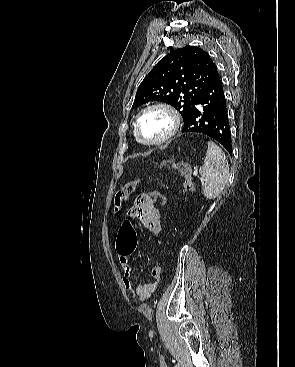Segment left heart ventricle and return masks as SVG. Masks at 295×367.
I'll return each mask as SVG.
<instances>
[{"mask_svg": "<svg viewBox=\"0 0 295 367\" xmlns=\"http://www.w3.org/2000/svg\"><path fill=\"white\" fill-rule=\"evenodd\" d=\"M171 128V119L162 110H152L141 118L139 132L143 139L157 140L168 133Z\"/></svg>", "mask_w": 295, "mask_h": 367, "instance_id": "b2bd125f", "label": "left heart ventricle"}]
</instances>
